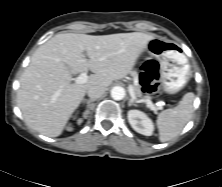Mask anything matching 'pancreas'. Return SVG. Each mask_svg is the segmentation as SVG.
<instances>
[{"instance_id":"1","label":"pancreas","mask_w":222,"mask_h":187,"mask_svg":"<svg viewBox=\"0 0 222 187\" xmlns=\"http://www.w3.org/2000/svg\"><path fill=\"white\" fill-rule=\"evenodd\" d=\"M133 75H134V77H137V73L136 72H134ZM133 90H134V93H135L136 97H142V92H141L140 85H139L138 82L134 83ZM146 98L150 99L149 96H146Z\"/></svg>"}]
</instances>
